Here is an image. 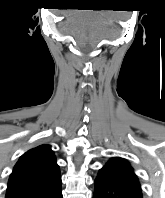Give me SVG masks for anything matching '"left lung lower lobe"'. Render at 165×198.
<instances>
[{"label": "left lung lower lobe", "mask_w": 165, "mask_h": 198, "mask_svg": "<svg viewBox=\"0 0 165 198\" xmlns=\"http://www.w3.org/2000/svg\"><path fill=\"white\" fill-rule=\"evenodd\" d=\"M93 198H142V192L120 182L109 173L99 171Z\"/></svg>", "instance_id": "obj_1"}]
</instances>
